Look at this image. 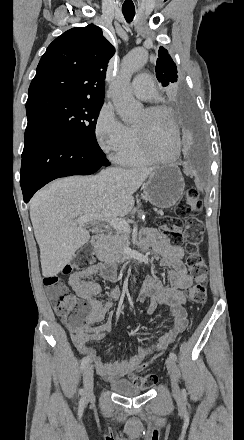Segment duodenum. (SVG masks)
<instances>
[{"mask_svg":"<svg viewBox=\"0 0 244 440\" xmlns=\"http://www.w3.org/2000/svg\"><path fill=\"white\" fill-rule=\"evenodd\" d=\"M104 238L102 235H95L92 238V244L97 248H102L104 246ZM124 262L130 265V267H138L140 260L136 257H127L124 259Z\"/></svg>","mask_w":244,"mask_h":440,"instance_id":"duodenum-1","label":"duodenum"}]
</instances>
